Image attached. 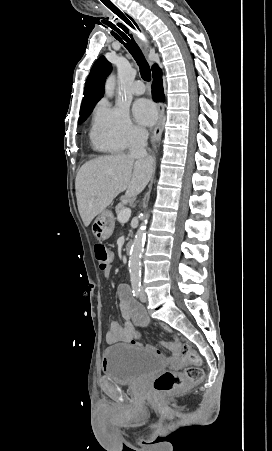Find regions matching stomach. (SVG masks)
I'll list each match as a JSON object with an SVG mask.
<instances>
[{
	"instance_id": "0dacf381",
	"label": "stomach",
	"mask_w": 272,
	"mask_h": 451,
	"mask_svg": "<svg viewBox=\"0 0 272 451\" xmlns=\"http://www.w3.org/2000/svg\"><path fill=\"white\" fill-rule=\"evenodd\" d=\"M115 226V218L110 210H103L99 216H97L94 224H92V233L96 239L103 241L108 239L113 233Z\"/></svg>"
}]
</instances>
